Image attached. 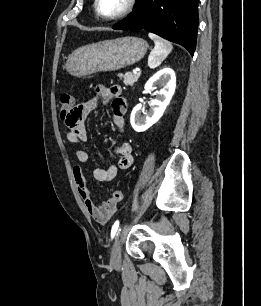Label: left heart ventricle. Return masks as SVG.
Instances as JSON below:
<instances>
[{
  "label": "left heart ventricle",
  "instance_id": "b2bd125f",
  "mask_svg": "<svg viewBox=\"0 0 261 306\" xmlns=\"http://www.w3.org/2000/svg\"><path fill=\"white\" fill-rule=\"evenodd\" d=\"M126 0H99V10L103 15L111 16L118 13Z\"/></svg>",
  "mask_w": 261,
  "mask_h": 306
}]
</instances>
